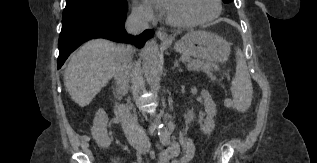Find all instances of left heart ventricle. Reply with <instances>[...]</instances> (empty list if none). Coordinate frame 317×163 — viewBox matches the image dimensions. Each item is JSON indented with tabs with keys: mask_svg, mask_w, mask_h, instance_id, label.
<instances>
[{
	"mask_svg": "<svg viewBox=\"0 0 317 163\" xmlns=\"http://www.w3.org/2000/svg\"><path fill=\"white\" fill-rule=\"evenodd\" d=\"M168 14L177 21L190 22L210 16L214 0H162Z\"/></svg>",
	"mask_w": 317,
	"mask_h": 163,
	"instance_id": "obj_1",
	"label": "left heart ventricle"
}]
</instances>
